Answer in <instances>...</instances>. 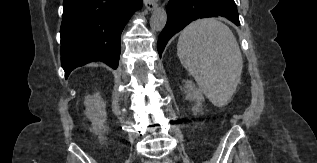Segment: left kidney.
Wrapping results in <instances>:
<instances>
[{"mask_svg": "<svg viewBox=\"0 0 317 163\" xmlns=\"http://www.w3.org/2000/svg\"><path fill=\"white\" fill-rule=\"evenodd\" d=\"M184 91L186 93V99L189 101H195L196 105L193 107V111L199 112L204 101L203 92L200 88H197L192 81H185Z\"/></svg>", "mask_w": 317, "mask_h": 163, "instance_id": "obj_1", "label": "left kidney"}]
</instances>
